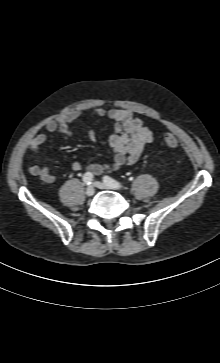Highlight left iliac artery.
<instances>
[{"label":"left iliac artery","mask_w":220,"mask_h":363,"mask_svg":"<svg viewBox=\"0 0 220 363\" xmlns=\"http://www.w3.org/2000/svg\"><path fill=\"white\" fill-rule=\"evenodd\" d=\"M103 181L104 183L113 186V187H123L121 183H119L118 181L114 180L113 178L109 177V176H104L103 177Z\"/></svg>","instance_id":"obj_1"}]
</instances>
